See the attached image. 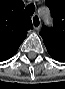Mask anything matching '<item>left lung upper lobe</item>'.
Masks as SVG:
<instances>
[{
    "instance_id": "obj_1",
    "label": "left lung upper lobe",
    "mask_w": 65,
    "mask_h": 89,
    "mask_svg": "<svg viewBox=\"0 0 65 89\" xmlns=\"http://www.w3.org/2000/svg\"><path fill=\"white\" fill-rule=\"evenodd\" d=\"M53 17L51 29L43 27L40 35L56 43L65 44V0H45Z\"/></svg>"
}]
</instances>
